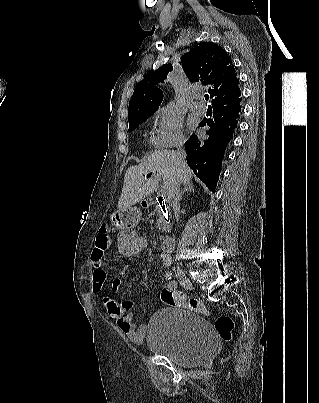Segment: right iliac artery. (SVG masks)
Returning a JSON list of instances; mask_svg holds the SVG:
<instances>
[{"mask_svg": "<svg viewBox=\"0 0 319 403\" xmlns=\"http://www.w3.org/2000/svg\"><path fill=\"white\" fill-rule=\"evenodd\" d=\"M165 277H166L167 280H170L172 278V273L171 272L166 273ZM172 284H173L174 287L177 285L175 282H173Z\"/></svg>", "mask_w": 319, "mask_h": 403, "instance_id": "obj_1", "label": "right iliac artery"}]
</instances>
